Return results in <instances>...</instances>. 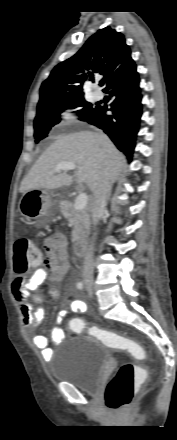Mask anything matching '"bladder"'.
I'll use <instances>...</instances> for the list:
<instances>
[{
	"instance_id": "31cf9c89",
	"label": "bladder",
	"mask_w": 177,
	"mask_h": 440,
	"mask_svg": "<svg viewBox=\"0 0 177 440\" xmlns=\"http://www.w3.org/2000/svg\"><path fill=\"white\" fill-rule=\"evenodd\" d=\"M73 341L78 342L75 347H71L70 342L62 345L52 362L51 375L56 381L70 383L85 393L94 394L108 361V351L92 337H78Z\"/></svg>"
}]
</instances>
